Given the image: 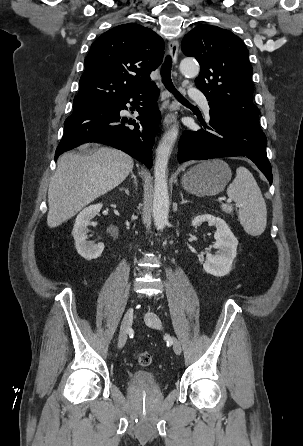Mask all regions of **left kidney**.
Here are the masks:
<instances>
[{
    "mask_svg": "<svg viewBox=\"0 0 303 446\" xmlns=\"http://www.w3.org/2000/svg\"><path fill=\"white\" fill-rule=\"evenodd\" d=\"M203 222L211 223L217 228L214 234L216 242L213 247L218 249L216 255H206L203 269L213 276H225L232 269V263L237 254L238 240L223 219L210 214L199 215L192 220V226L197 227Z\"/></svg>",
    "mask_w": 303,
    "mask_h": 446,
    "instance_id": "1",
    "label": "left kidney"
}]
</instances>
